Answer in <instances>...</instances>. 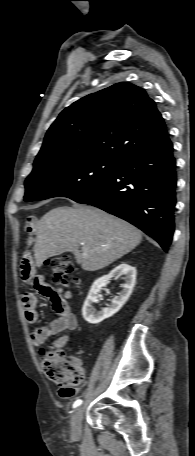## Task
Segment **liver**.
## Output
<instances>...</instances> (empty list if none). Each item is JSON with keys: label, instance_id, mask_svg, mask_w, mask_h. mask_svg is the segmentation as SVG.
I'll return each instance as SVG.
<instances>
[{"label": "liver", "instance_id": "liver-1", "mask_svg": "<svg viewBox=\"0 0 195 456\" xmlns=\"http://www.w3.org/2000/svg\"><path fill=\"white\" fill-rule=\"evenodd\" d=\"M142 240L130 223L95 207H57L39 221L34 245L36 266L72 252L85 271H97L133 250ZM81 243L85 246L80 249Z\"/></svg>", "mask_w": 195, "mask_h": 456}]
</instances>
